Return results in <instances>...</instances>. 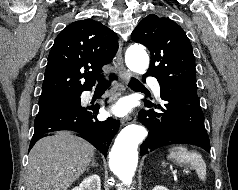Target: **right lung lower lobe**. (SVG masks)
<instances>
[{"mask_svg":"<svg viewBox=\"0 0 238 190\" xmlns=\"http://www.w3.org/2000/svg\"><path fill=\"white\" fill-rule=\"evenodd\" d=\"M112 79H117V77L113 75ZM98 110V106L83 108L78 105L38 114L35 118V130L29 149L46 133L71 130L81 133L84 139L106 157L108 147L118 131L120 123L112 118L98 121L96 117Z\"/></svg>","mask_w":238,"mask_h":190,"instance_id":"1","label":"right lung lower lobe"}]
</instances>
